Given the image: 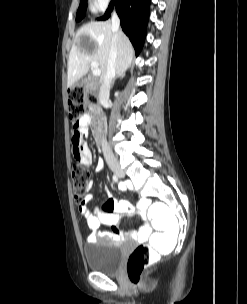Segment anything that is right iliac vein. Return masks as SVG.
Instances as JSON below:
<instances>
[{"label": "right iliac vein", "mask_w": 247, "mask_h": 304, "mask_svg": "<svg viewBox=\"0 0 247 304\" xmlns=\"http://www.w3.org/2000/svg\"><path fill=\"white\" fill-rule=\"evenodd\" d=\"M111 169H112V171L115 173L116 176H118L119 178H124L125 172H124L123 169L120 168L119 165H117V164H112V165H111Z\"/></svg>", "instance_id": "right-iliac-vein-1"}]
</instances>
